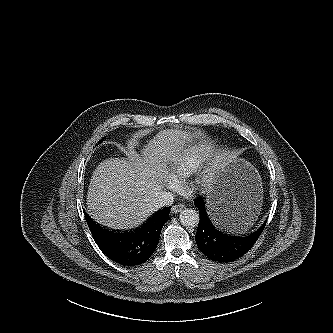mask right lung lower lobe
Masks as SVG:
<instances>
[{
  "instance_id": "right-lung-lower-lobe-1",
  "label": "right lung lower lobe",
  "mask_w": 333,
  "mask_h": 333,
  "mask_svg": "<svg viewBox=\"0 0 333 333\" xmlns=\"http://www.w3.org/2000/svg\"><path fill=\"white\" fill-rule=\"evenodd\" d=\"M170 207H165L131 232L110 231L84 215L98 247L109 259L123 266L146 262L154 253L163 225L169 219Z\"/></svg>"
}]
</instances>
